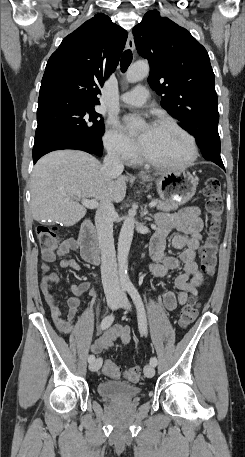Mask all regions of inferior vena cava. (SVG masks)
<instances>
[{
  "label": "inferior vena cava",
  "instance_id": "inferior-vena-cava-1",
  "mask_svg": "<svg viewBox=\"0 0 245 457\" xmlns=\"http://www.w3.org/2000/svg\"><path fill=\"white\" fill-rule=\"evenodd\" d=\"M103 162L101 170L106 182H110L112 178H116L124 170L119 154L114 150L106 154ZM116 214L111 200H102L95 214V224L101 249V277L107 297H118L120 291L113 239V220Z\"/></svg>",
  "mask_w": 245,
  "mask_h": 457
}]
</instances>
